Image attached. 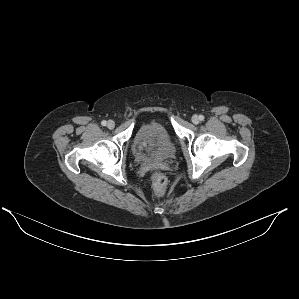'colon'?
I'll list each match as a JSON object with an SVG mask.
<instances>
[{
  "label": "colon",
  "instance_id": "colon-1",
  "mask_svg": "<svg viewBox=\"0 0 299 299\" xmlns=\"http://www.w3.org/2000/svg\"><path fill=\"white\" fill-rule=\"evenodd\" d=\"M151 185L156 197L163 196L167 189V179L162 173H153L151 176Z\"/></svg>",
  "mask_w": 299,
  "mask_h": 299
}]
</instances>
